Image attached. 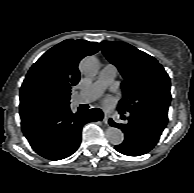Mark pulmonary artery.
<instances>
[{"mask_svg": "<svg viewBox=\"0 0 194 193\" xmlns=\"http://www.w3.org/2000/svg\"><path fill=\"white\" fill-rule=\"evenodd\" d=\"M117 74V68L112 64L103 66L97 80L89 87L81 90L76 96L78 104L90 103L96 100L112 83Z\"/></svg>", "mask_w": 194, "mask_h": 193, "instance_id": "pulmonary-artery-1", "label": "pulmonary artery"}]
</instances>
